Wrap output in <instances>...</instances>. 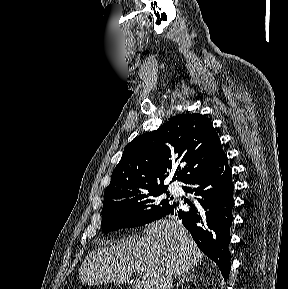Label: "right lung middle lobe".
Returning a JSON list of instances; mask_svg holds the SVG:
<instances>
[{
    "mask_svg": "<svg viewBox=\"0 0 288 289\" xmlns=\"http://www.w3.org/2000/svg\"><path fill=\"white\" fill-rule=\"evenodd\" d=\"M167 194V198L163 194ZM167 186L150 187L104 197L102 232L137 227L164 217L176 203H170Z\"/></svg>",
    "mask_w": 288,
    "mask_h": 289,
    "instance_id": "1",
    "label": "right lung middle lobe"
}]
</instances>
